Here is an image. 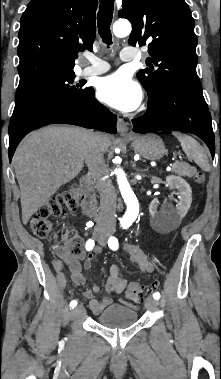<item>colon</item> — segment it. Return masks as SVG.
I'll list each match as a JSON object with an SVG mask.
<instances>
[{"mask_svg": "<svg viewBox=\"0 0 221 379\" xmlns=\"http://www.w3.org/2000/svg\"><path fill=\"white\" fill-rule=\"evenodd\" d=\"M189 175L196 183L203 181V174L196 169L190 170ZM83 197L82 190L75 187L44 203L30 220L32 232L40 238L48 237L53 231L51 218L70 213ZM63 236L66 240L65 252L76 258L83 257L82 244L77 234L72 230H64ZM148 291L149 289L140 282H131L126 288V296L134 302H141Z\"/></svg>", "mask_w": 221, "mask_h": 379, "instance_id": "obj_1", "label": "colon"}]
</instances>
